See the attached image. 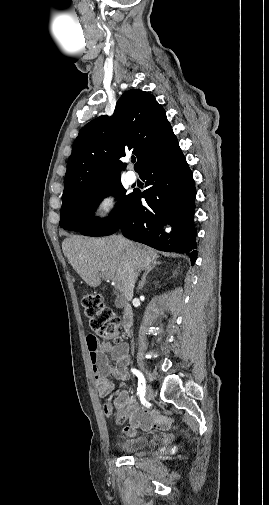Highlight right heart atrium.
Listing matches in <instances>:
<instances>
[{
    "mask_svg": "<svg viewBox=\"0 0 269 505\" xmlns=\"http://www.w3.org/2000/svg\"><path fill=\"white\" fill-rule=\"evenodd\" d=\"M120 207L117 194L108 190L100 194L92 204V216L97 223H107L114 218Z\"/></svg>",
    "mask_w": 269,
    "mask_h": 505,
    "instance_id": "1",
    "label": "right heart atrium"
}]
</instances>
